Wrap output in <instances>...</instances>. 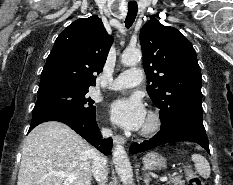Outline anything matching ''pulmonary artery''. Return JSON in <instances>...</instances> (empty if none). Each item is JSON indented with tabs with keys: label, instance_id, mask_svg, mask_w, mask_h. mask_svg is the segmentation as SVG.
Listing matches in <instances>:
<instances>
[{
	"label": "pulmonary artery",
	"instance_id": "pulmonary-artery-1",
	"mask_svg": "<svg viewBox=\"0 0 233 185\" xmlns=\"http://www.w3.org/2000/svg\"><path fill=\"white\" fill-rule=\"evenodd\" d=\"M143 80V73L139 68H130L117 76L109 85L111 90L132 88L139 85Z\"/></svg>",
	"mask_w": 233,
	"mask_h": 185
}]
</instances>
